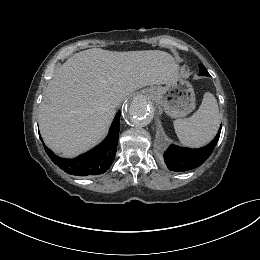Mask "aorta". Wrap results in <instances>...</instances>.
Masks as SVG:
<instances>
[{
  "label": "aorta",
  "instance_id": "aorta-1",
  "mask_svg": "<svg viewBox=\"0 0 260 260\" xmlns=\"http://www.w3.org/2000/svg\"><path fill=\"white\" fill-rule=\"evenodd\" d=\"M152 118V108L148 99L144 96H136L130 103L126 119L136 128L147 126Z\"/></svg>",
  "mask_w": 260,
  "mask_h": 260
}]
</instances>
